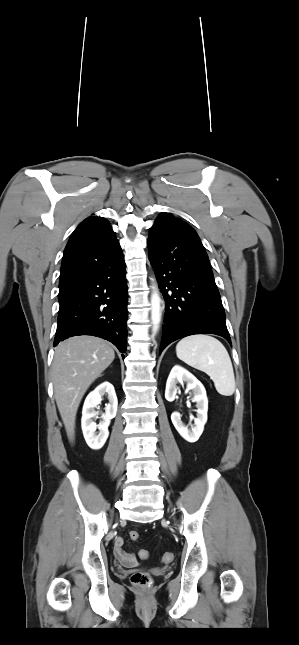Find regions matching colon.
<instances>
[{
  "label": "colon",
  "instance_id": "colon-1",
  "mask_svg": "<svg viewBox=\"0 0 299 645\" xmlns=\"http://www.w3.org/2000/svg\"><path fill=\"white\" fill-rule=\"evenodd\" d=\"M130 537L132 540H137L139 538V533L137 531H131L130 532ZM148 551L147 550H140L139 551V557L141 559H146L148 558ZM174 556L171 552H165L162 555V561L165 563H170L173 560ZM131 582L133 585L139 588H145L148 587L150 582H151V577L148 573L146 572H136L131 576Z\"/></svg>",
  "mask_w": 299,
  "mask_h": 645
}]
</instances>
